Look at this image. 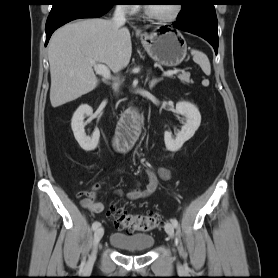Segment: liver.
Here are the masks:
<instances>
[{"label": "liver", "instance_id": "obj_1", "mask_svg": "<svg viewBox=\"0 0 278 278\" xmlns=\"http://www.w3.org/2000/svg\"><path fill=\"white\" fill-rule=\"evenodd\" d=\"M132 54L129 30L105 19H84L59 28L48 45L50 102L56 108L94 90L99 80L90 61L113 72L126 67Z\"/></svg>", "mask_w": 278, "mask_h": 278}]
</instances>
